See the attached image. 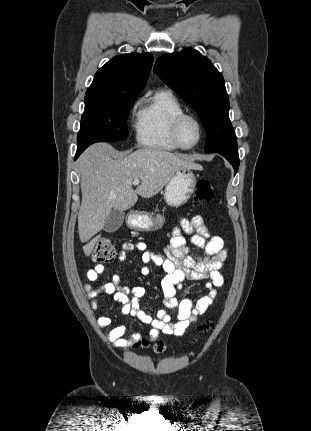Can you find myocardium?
I'll return each instance as SVG.
<instances>
[{
  "label": "myocardium",
  "mask_w": 311,
  "mask_h": 431,
  "mask_svg": "<svg viewBox=\"0 0 311 431\" xmlns=\"http://www.w3.org/2000/svg\"><path fill=\"white\" fill-rule=\"evenodd\" d=\"M189 117L194 118L198 122L199 127H200V131H201L198 140L194 144H192V145H186V144H184V142L182 141V138H181V134H180V128H181L182 122L186 118H189ZM205 133H206L205 124H204L203 120L201 119V117L198 116L195 113L182 112L181 114H179L174 119L173 124H172L173 139H174L175 143L177 144V146L179 148H181V149L189 150V149L195 148L196 146H198L201 143V141H202Z\"/></svg>",
  "instance_id": "obj_1"
}]
</instances>
